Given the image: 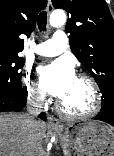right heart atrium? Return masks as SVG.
Returning a JSON list of instances; mask_svg holds the SVG:
<instances>
[{
	"instance_id": "1",
	"label": "right heart atrium",
	"mask_w": 114,
	"mask_h": 156,
	"mask_svg": "<svg viewBox=\"0 0 114 156\" xmlns=\"http://www.w3.org/2000/svg\"><path fill=\"white\" fill-rule=\"evenodd\" d=\"M23 89L28 101L34 105L42 106L46 102V96L38 84L32 78L30 72L23 77Z\"/></svg>"
}]
</instances>
